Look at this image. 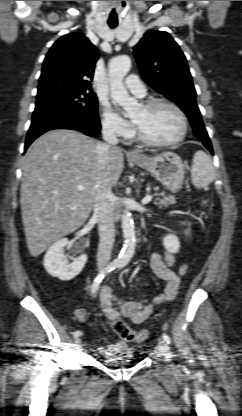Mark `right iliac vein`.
I'll use <instances>...</instances> for the list:
<instances>
[{"label":"right iliac vein","mask_w":242,"mask_h":416,"mask_svg":"<svg viewBox=\"0 0 242 416\" xmlns=\"http://www.w3.org/2000/svg\"><path fill=\"white\" fill-rule=\"evenodd\" d=\"M80 344H81V339L80 338H76L75 341H74V346L76 348H78L80 346Z\"/></svg>","instance_id":"63e3f726"}]
</instances>
